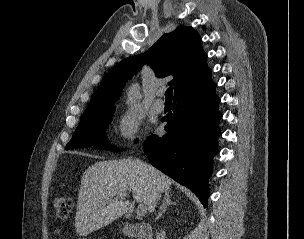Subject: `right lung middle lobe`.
<instances>
[{"instance_id": "dd1d6c3e", "label": "right lung middle lobe", "mask_w": 304, "mask_h": 239, "mask_svg": "<svg viewBox=\"0 0 304 239\" xmlns=\"http://www.w3.org/2000/svg\"><path fill=\"white\" fill-rule=\"evenodd\" d=\"M114 110V106H109L99 112L82 117L71 141L66 145V150L89 145L98 149H107L105 145L107 140L103 131L110 124Z\"/></svg>"}]
</instances>
